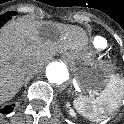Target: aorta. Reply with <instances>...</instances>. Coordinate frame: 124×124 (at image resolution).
<instances>
[{"label":"aorta","instance_id":"aorta-1","mask_svg":"<svg viewBox=\"0 0 124 124\" xmlns=\"http://www.w3.org/2000/svg\"><path fill=\"white\" fill-rule=\"evenodd\" d=\"M46 77L50 83L61 85L68 80L69 74L63 64L52 63L46 68Z\"/></svg>","mask_w":124,"mask_h":124}]
</instances>
